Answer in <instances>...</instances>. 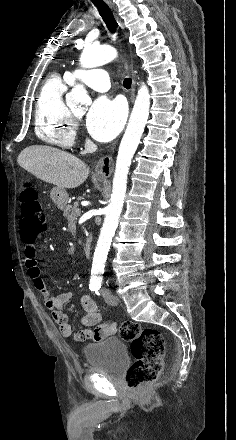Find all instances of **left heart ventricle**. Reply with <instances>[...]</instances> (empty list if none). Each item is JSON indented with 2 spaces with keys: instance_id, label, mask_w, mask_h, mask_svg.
<instances>
[{
  "instance_id": "b2bd125f",
  "label": "left heart ventricle",
  "mask_w": 236,
  "mask_h": 440,
  "mask_svg": "<svg viewBox=\"0 0 236 440\" xmlns=\"http://www.w3.org/2000/svg\"><path fill=\"white\" fill-rule=\"evenodd\" d=\"M77 115V117H79V118H81L82 117V115L81 114H76Z\"/></svg>"
}]
</instances>
